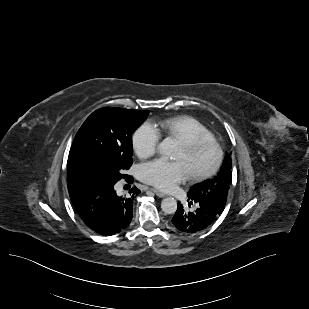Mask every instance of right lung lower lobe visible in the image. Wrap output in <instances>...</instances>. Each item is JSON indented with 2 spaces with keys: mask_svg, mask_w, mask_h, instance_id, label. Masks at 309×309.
Listing matches in <instances>:
<instances>
[{
  "mask_svg": "<svg viewBox=\"0 0 309 309\" xmlns=\"http://www.w3.org/2000/svg\"><path fill=\"white\" fill-rule=\"evenodd\" d=\"M115 183L82 169L67 170L68 191L75 210L88 227L103 236L127 228L133 217L134 199L140 193L133 187L128 196H118Z\"/></svg>",
  "mask_w": 309,
  "mask_h": 309,
  "instance_id": "98d812e1",
  "label": "right lung lower lobe"
}]
</instances>
